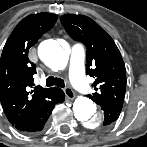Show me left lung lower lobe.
I'll return each instance as SVG.
<instances>
[{"mask_svg": "<svg viewBox=\"0 0 147 147\" xmlns=\"http://www.w3.org/2000/svg\"><path fill=\"white\" fill-rule=\"evenodd\" d=\"M122 106L123 102H114L101 107V109L104 111V126L110 125L112 122L118 119Z\"/></svg>", "mask_w": 147, "mask_h": 147, "instance_id": "left-lung-lower-lobe-1", "label": "left lung lower lobe"}]
</instances>
